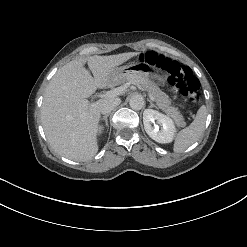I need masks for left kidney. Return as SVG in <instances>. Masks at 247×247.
<instances>
[{"mask_svg":"<svg viewBox=\"0 0 247 247\" xmlns=\"http://www.w3.org/2000/svg\"><path fill=\"white\" fill-rule=\"evenodd\" d=\"M143 123L146 133L156 142H172L176 127L170 117L156 110L146 109L143 113Z\"/></svg>","mask_w":247,"mask_h":247,"instance_id":"1","label":"left kidney"}]
</instances>
